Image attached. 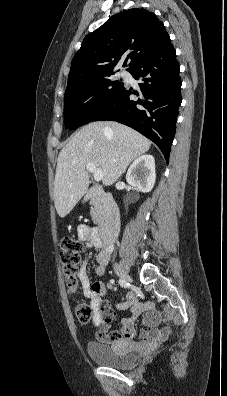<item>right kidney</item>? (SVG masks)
Listing matches in <instances>:
<instances>
[{"label":"right kidney","mask_w":227,"mask_h":396,"mask_svg":"<svg viewBox=\"0 0 227 396\" xmlns=\"http://www.w3.org/2000/svg\"><path fill=\"white\" fill-rule=\"evenodd\" d=\"M155 179V160L149 154L142 155L134 160L126 174L127 183L143 193L152 190Z\"/></svg>","instance_id":"ca27d5eb"}]
</instances>
